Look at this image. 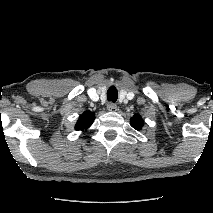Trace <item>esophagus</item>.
<instances>
[{
	"label": "esophagus",
	"instance_id": "1",
	"mask_svg": "<svg viewBox=\"0 0 213 213\" xmlns=\"http://www.w3.org/2000/svg\"><path fill=\"white\" fill-rule=\"evenodd\" d=\"M107 110L109 112H116L118 110V108H117L116 104H114V103H108Z\"/></svg>",
	"mask_w": 213,
	"mask_h": 213
}]
</instances>
